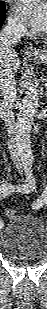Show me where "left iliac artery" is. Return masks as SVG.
I'll use <instances>...</instances> for the list:
<instances>
[{"label": "left iliac artery", "instance_id": "obj_1", "mask_svg": "<svg viewBox=\"0 0 47 309\" xmlns=\"http://www.w3.org/2000/svg\"><path fill=\"white\" fill-rule=\"evenodd\" d=\"M47 202L46 195L41 196L37 201L33 204V209H39Z\"/></svg>", "mask_w": 47, "mask_h": 309}]
</instances>
